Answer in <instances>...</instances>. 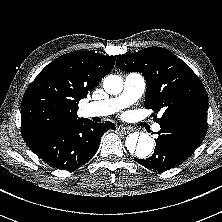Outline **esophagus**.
Masks as SVG:
<instances>
[{
  "mask_svg": "<svg viewBox=\"0 0 222 222\" xmlns=\"http://www.w3.org/2000/svg\"><path fill=\"white\" fill-rule=\"evenodd\" d=\"M118 131L123 133V134H128L130 133L132 130L129 127H125V126H119L118 127Z\"/></svg>",
  "mask_w": 222,
  "mask_h": 222,
  "instance_id": "34e87169",
  "label": "esophagus"
}]
</instances>
